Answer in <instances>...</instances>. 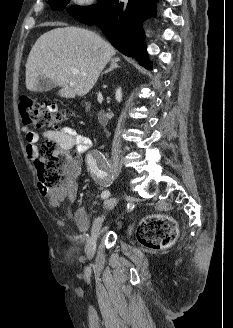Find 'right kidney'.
Masks as SVG:
<instances>
[{"label":"right kidney","mask_w":233,"mask_h":328,"mask_svg":"<svg viewBox=\"0 0 233 328\" xmlns=\"http://www.w3.org/2000/svg\"><path fill=\"white\" fill-rule=\"evenodd\" d=\"M115 97H116L117 102H121V100H122V92H121V88H118V89L116 90Z\"/></svg>","instance_id":"1"}]
</instances>
